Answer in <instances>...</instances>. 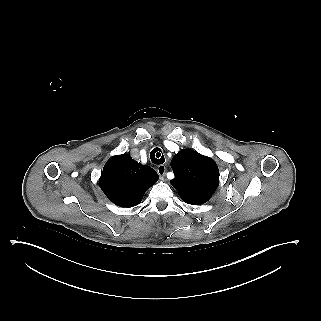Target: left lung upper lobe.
<instances>
[{
    "label": "left lung upper lobe",
    "mask_w": 321,
    "mask_h": 321,
    "mask_svg": "<svg viewBox=\"0 0 321 321\" xmlns=\"http://www.w3.org/2000/svg\"><path fill=\"white\" fill-rule=\"evenodd\" d=\"M175 178L172 186L188 204L209 200L219 185L216 163L197 151L183 149L171 161Z\"/></svg>",
    "instance_id": "left-lung-upper-lobe-1"
}]
</instances>
